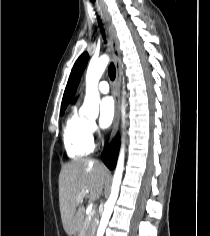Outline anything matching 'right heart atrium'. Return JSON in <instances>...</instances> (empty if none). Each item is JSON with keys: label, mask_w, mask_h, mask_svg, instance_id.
I'll use <instances>...</instances> for the list:
<instances>
[{"label": "right heart atrium", "mask_w": 210, "mask_h": 236, "mask_svg": "<svg viewBox=\"0 0 210 236\" xmlns=\"http://www.w3.org/2000/svg\"><path fill=\"white\" fill-rule=\"evenodd\" d=\"M89 131L91 135H95L97 133V126L94 122L89 123Z\"/></svg>", "instance_id": "d8ad5b80"}]
</instances>
